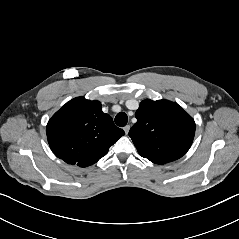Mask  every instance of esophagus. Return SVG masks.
Returning a JSON list of instances; mask_svg holds the SVG:
<instances>
[{"label": "esophagus", "mask_w": 239, "mask_h": 239, "mask_svg": "<svg viewBox=\"0 0 239 239\" xmlns=\"http://www.w3.org/2000/svg\"><path fill=\"white\" fill-rule=\"evenodd\" d=\"M123 129H124L125 134L127 135L130 130V125H126Z\"/></svg>", "instance_id": "esophagus-1"}]
</instances>
